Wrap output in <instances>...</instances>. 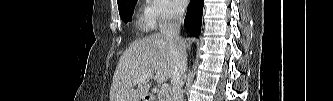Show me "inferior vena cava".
Returning <instances> with one entry per match:
<instances>
[{
    "label": "inferior vena cava",
    "instance_id": "inferior-vena-cava-1",
    "mask_svg": "<svg viewBox=\"0 0 333 101\" xmlns=\"http://www.w3.org/2000/svg\"><path fill=\"white\" fill-rule=\"evenodd\" d=\"M184 20V10L171 11L169 18L159 23L160 33L166 38L174 57V71L171 77L172 101H183L184 75L187 68V55L180 27Z\"/></svg>",
    "mask_w": 333,
    "mask_h": 101
}]
</instances>
